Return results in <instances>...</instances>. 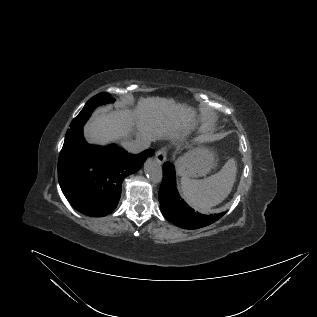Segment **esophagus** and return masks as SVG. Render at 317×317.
Masks as SVG:
<instances>
[{"label":"esophagus","instance_id":"esophagus-1","mask_svg":"<svg viewBox=\"0 0 317 317\" xmlns=\"http://www.w3.org/2000/svg\"><path fill=\"white\" fill-rule=\"evenodd\" d=\"M166 156H167V148L166 147L159 149L155 153V158L159 164H163L166 161Z\"/></svg>","mask_w":317,"mask_h":317}]
</instances>
